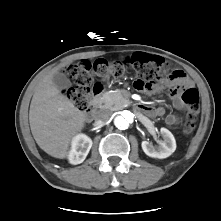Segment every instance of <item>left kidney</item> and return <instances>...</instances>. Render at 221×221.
Returning a JSON list of instances; mask_svg holds the SVG:
<instances>
[{"label":"left kidney","instance_id":"5707ae66","mask_svg":"<svg viewBox=\"0 0 221 221\" xmlns=\"http://www.w3.org/2000/svg\"><path fill=\"white\" fill-rule=\"evenodd\" d=\"M163 141L158 147H154L148 141H142V149L146 155L152 158H167L176 150V141L173 134L166 128H161Z\"/></svg>","mask_w":221,"mask_h":221}]
</instances>
